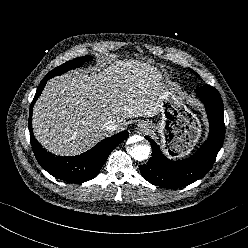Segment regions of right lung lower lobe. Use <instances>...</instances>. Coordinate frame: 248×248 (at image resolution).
<instances>
[{"label": "right lung lower lobe", "mask_w": 248, "mask_h": 248, "mask_svg": "<svg viewBox=\"0 0 248 248\" xmlns=\"http://www.w3.org/2000/svg\"><path fill=\"white\" fill-rule=\"evenodd\" d=\"M50 78H52V76L48 74L43 78L30 107L29 131L35 157L42 168L57 179L70 183H82L91 180L98 175L111 151L128 137V132L123 131L106 138L87 152L73 157L55 156L47 152L37 142L32 133L31 115L35 101L40 96L47 80Z\"/></svg>", "instance_id": "obj_1"}]
</instances>
